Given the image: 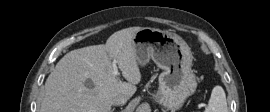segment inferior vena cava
I'll return each mask as SVG.
<instances>
[{
    "label": "inferior vena cava",
    "mask_w": 270,
    "mask_h": 112,
    "mask_svg": "<svg viewBox=\"0 0 270 112\" xmlns=\"http://www.w3.org/2000/svg\"><path fill=\"white\" fill-rule=\"evenodd\" d=\"M127 98L125 96H117L115 98H113L112 100V104L114 105H122V104H125L127 102Z\"/></svg>",
    "instance_id": "602c4592"
}]
</instances>
